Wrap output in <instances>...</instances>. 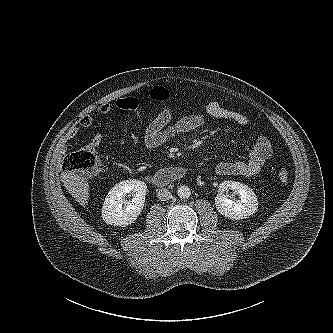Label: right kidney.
Listing matches in <instances>:
<instances>
[{
	"instance_id": "ca27d5eb",
	"label": "right kidney",
	"mask_w": 333,
	"mask_h": 333,
	"mask_svg": "<svg viewBox=\"0 0 333 333\" xmlns=\"http://www.w3.org/2000/svg\"><path fill=\"white\" fill-rule=\"evenodd\" d=\"M147 186L144 182L130 179L115 185L107 194L103 207L102 219L106 224L127 226L133 223L141 214ZM132 194V200H125L127 194Z\"/></svg>"
}]
</instances>
